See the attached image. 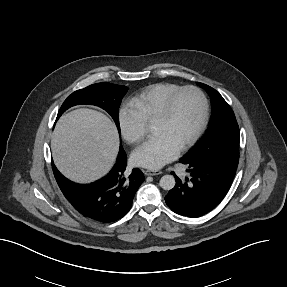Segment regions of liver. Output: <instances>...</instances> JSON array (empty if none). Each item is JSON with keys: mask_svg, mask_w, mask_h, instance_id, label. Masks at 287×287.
Listing matches in <instances>:
<instances>
[{"mask_svg": "<svg viewBox=\"0 0 287 287\" xmlns=\"http://www.w3.org/2000/svg\"><path fill=\"white\" fill-rule=\"evenodd\" d=\"M51 146L54 163L66 178L89 183L112 167L119 150V136L105 114L80 108L60 118Z\"/></svg>", "mask_w": 287, "mask_h": 287, "instance_id": "obj_1", "label": "liver"}]
</instances>
